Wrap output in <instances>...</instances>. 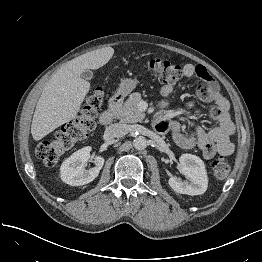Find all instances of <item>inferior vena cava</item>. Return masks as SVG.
Returning a JSON list of instances; mask_svg holds the SVG:
<instances>
[{
	"label": "inferior vena cava",
	"mask_w": 262,
	"mask_h": 262,
	"mask_svg": "<svg viewBox=\"0 0 262 262\" xmlns=\"http://www.w3.org/2000/svg\"><path fill=\"white\" fill-rule=\"evenodd\" d=\"M128 129L125 124L115 123L107 127L106 133L114 138L123 137L127 134Z\"/></svg>",
	"instance_id": "602c4592"
}]
</instances>
